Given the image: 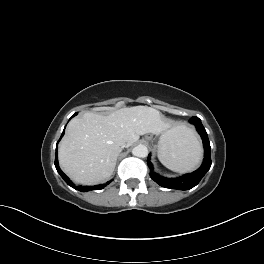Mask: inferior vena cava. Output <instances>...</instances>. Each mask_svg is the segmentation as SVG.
Listing matches in <instances>:
<instances>
[{"label": "inferior vena cava", "mask_w": 264, "mask_h": 264, "mask_svg": "<svg viewBox=\"0 0 264 264\" xmlns=\"http://www.w3.org/2000/svg\"><path fill=\"white\" fill-rule=\"evenodd\" d=\"M121 146H122V147H125L124 143H121Z\"/></svg>", "instance_id": "obj_1"}]
</instances>
